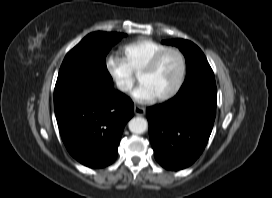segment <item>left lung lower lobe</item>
Returning <instances> with one entry per match:
<instances>
[{
    "label": "left lung lower lobe",
    "instance_id": "1",
    "mask_svg": "<svg viewBox=\"0 0 272 198\" xmlns=\"http://www.w3.org/2000/svg\"><path fill=\"white\" fill-rule=\"evenodd\" d=\"M217 102L215 83L179 90L164 104L147 108L150 141L157 162L168 170L193 164L211 134Z\"/></svg>",
    "mask_w": 272,
    "mask_h": 198
}]
</instances>
